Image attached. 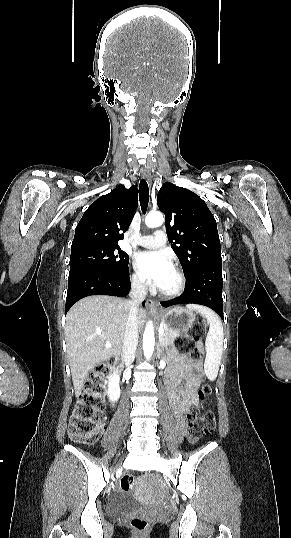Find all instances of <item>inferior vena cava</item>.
Returning a JSON list of instances; mask_svg holds the SVG:
<instances>
[{"mask_svg":"<svg viewBox=\"0 0 291 538\" xmlns=\"http://www.w3.org/2000/svg\"><path fill=\"white\" fill-rule=\"evenodd\" d=\"M146 287L143 280H133L130 300L128 301V318L126 323L124 342H123V358L125 364L129 367L134 359L135 352L138 345V320L137 314L139 310V305L145 300L146 297Z\"/></svg>","mask_w":291,"mask_h":538,"instance_id":"inferior-vena-cava-1","label":"inferior vena cava"}]
</instances>
